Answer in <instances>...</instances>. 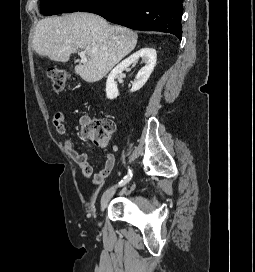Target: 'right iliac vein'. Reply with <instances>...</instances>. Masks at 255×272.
Masks as SVG:
<instances>
[{
  "instance_id": "63e3f726",
  "label": "right iliac vein",
  "mask_w": 255,
  "mask_h": 272,
  "mask_svg": "<svg viewBox=\"0 0 255 272\" xmlns=\"http://www.w3.org/2000/svg\"><path fill=\"white\" fill-rule=\"evenodd\" d=\"M115 191H116V188H115V187H111V188L107 189V190L103 193V195H102V197H101V210H102V211L106 208L108 202L110 201V199H111V198L113 197V195L115 194Z\"/></svg>"
}]
</instances>
